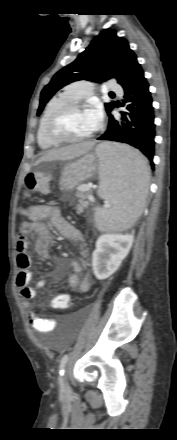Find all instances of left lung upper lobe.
I'll use <instances>...</instances> for the list:
<instances>
[{
  "label": "left lung upper lobe",
  "instance_id": "obj_1",
  "mask_svg": "<svg viewBox=\"0 0 177 440\" xmlns=\"http://www.w3.org/2000/svg\"><path fill=\"white\" fill-rule=\"evenodd\" d=\"M139 69L141 66L128 41L117 36L115 30L105 29L74 62L59 70L44 87L37 115L41 114L45 104L59 89L71 82L83 79L102 82L115 78L124 88ZM114 106V102L105 103L108 114Z\"/></svg>",
  "mask_w": 177,
  "mask_h": 440
}]
</instances>
